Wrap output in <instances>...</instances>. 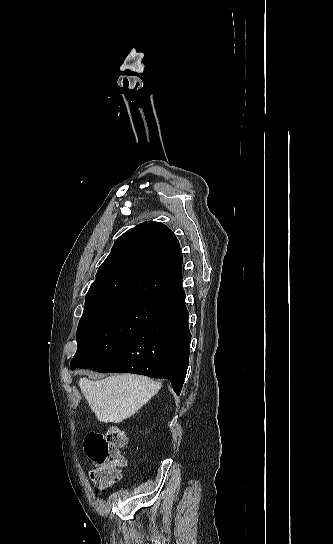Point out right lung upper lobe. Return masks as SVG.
<instances>
[{"mask_svg":"<svg viewBox=\"0 0 333 544\" xmlns=\"http://www.w3.org/2000/svg\"><path fill=\"white\" fill-rule=\"evenodd\" d=\"M183 258L174 233L147 221L121 235L99 267L85 302L145 296L169 303L185 296Z\"/></svg>","mask_w":333,"mask_h":544,"instance_id":"right-lung-upper-lobe-1","label":"right lung upper lobe"}]
</instances>
